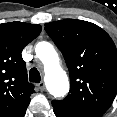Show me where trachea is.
Returning <instances> with one entry per match:
<instances>
[{
  "label": "trachea",
  "mask_w": 117,
  "mask_h": 117,
  "mask_svg": "<svg viewBox=\"0 0 117 117\" xmlns=\"http://www.w3.org/2000/svg\"><path fill=\"white\" fill-rule=\"evenodd\" d=\"M30 82L39 83L41 81V76L36 68H32L29 72Z\"/></svg>",
  "instance_id": "obj_1"
}]
</instances>
